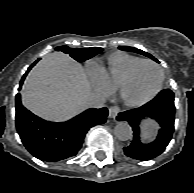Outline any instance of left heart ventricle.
<instances>
[{"mask_svg":"<svg viewBox=\"0 0 194 193\" xmlns=\"http://www.w3.org/2000/svg\"><path fill=\"white\" fill-rule=\"evenodd\" d=\"M159 71L151 64L140 66L123 89V95L131 101L142 100L153 93L159 82Z\"/></svg>","mask_w":194,"mask_h":193,"instance_id":"obj_1","label":"left heart ventricle"}]
</instances>
